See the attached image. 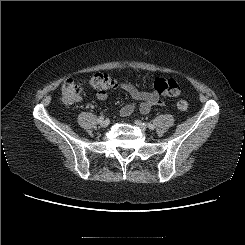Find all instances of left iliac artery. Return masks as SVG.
<instances>
[{"instance_id": "44dca946", "label": "left iliac artery", "mask_w": 245, "mask_h": 245, "mask_svg": "<svg viewBox=\"0 0 245 245\" xmlns=\"http://www.w3.org/2000/svg\"><path fill=\"white\" fill-rule=\"evenodd\" d=\"M143 124H145V123H143ZM146 125L148 126L149 129H152V130L155 129V126L151 123H146Z\"/></svg>"}]
</instances>
